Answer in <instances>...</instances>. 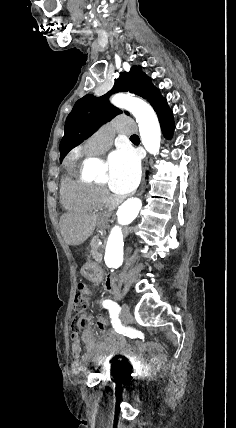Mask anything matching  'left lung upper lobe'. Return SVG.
<instances>
[{"label":"left lung upper lobe","mask_w":236,"mask_h":428,"mask_svg":"<svg viewBox=\"0 0 236 428\" xmlns=\"http://www.w3.org/2000/svg\"><path fill=\"white\" fill-rule=\"evenodd\" d=\"M129 91L146 99L157 112L167 105L159 90L152 84L150 77L142 72L140 66H132L130 72L121 73L115 80L111 91L101 97L85 95L79 99L65 123L64 136L60 142V161L74 147L89 138L97 129L122 111L112 106L108 98L111 94ZM128 114V112H126Z\"/></svg>","instance_id":"1"}]
</instances>
